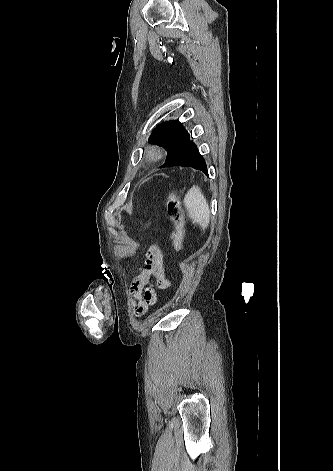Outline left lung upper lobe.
I'll return each instance as SVG.
<instances>
[{"label":"left lung upper lobe","instance_id":"left-lung-upper-lobe-1","mask_svg":"<svg viewBox=\"0 0 333 471\" xmlns=\"http://www.w3.org/2000/svg\"><path fill=\"white\" fill-rule=\"evenodd\" d=\"M149 143L162 146L167 150V159L161 166L167 167L171 158L191 142L189 133L178 120L160 124L149 137Z\"/></svg>","mask_w":333,"mask_h":471}]
</instances>
